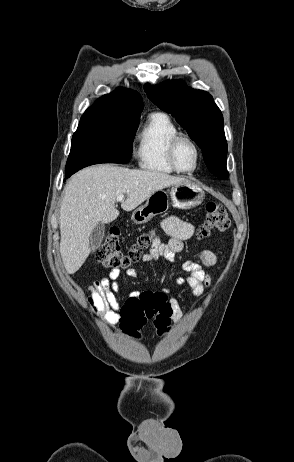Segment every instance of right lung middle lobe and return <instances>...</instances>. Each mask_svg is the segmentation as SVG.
<instances>
[{"label":"right lung middle lobe","instance_id":"right-lung-middle-lobe-1","mask_svg":"<svg viewBox=\"0 0 294 462\" xmlns=\"http://www.w3.org/2000/svg\"><path fill=\"white\" fill-rule=\"evenodd\" d=\"M139 119L140 115L84 113L72 137L65 174H74L93 164L127 163Z\"/></svg>","mask_w":294,"mask_h":462}]
</instances>
